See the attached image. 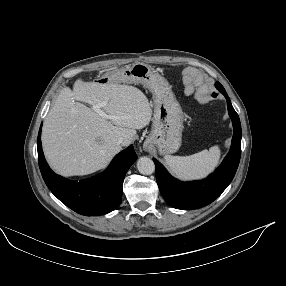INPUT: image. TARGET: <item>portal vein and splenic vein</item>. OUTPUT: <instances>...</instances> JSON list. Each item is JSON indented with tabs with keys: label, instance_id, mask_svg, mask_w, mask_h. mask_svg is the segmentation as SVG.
Returning a JSON list of instances; mask_svg holds the SVG:
<instances>
[{
	"label": "portal vein and splenic vein",
	"instance_id": "obj_1",
	"mask_svg": "<svg viewBox=\"0 0 286 286\" xmlns=\"http://www.w3.org/2000/svg\"><path fill=\"white\" fill-rule=\"evenodd\" d=\"M107 104V101H104L98 105L93 106V110L97 112L101 117L105 119H111L112 116L107 115L101 108L104 107Z\"/></svg>",
	"mask_w": 286,
	"mask_h": 286
}]
</instances>
